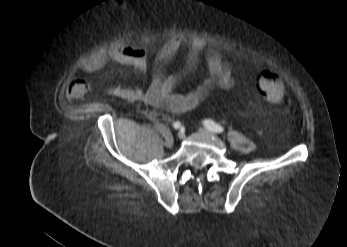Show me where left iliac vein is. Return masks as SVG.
Returning <instances> with one entry per match:
<instances>
[{"mask_svg": "<svg viewBox=\"0 0 347 247\" xmlns=\"http://www.w3.org/2000/svg\"><path fill=\"white\" fill-rule=\"evenodd\" d=\"M200 132L201 133H205V134H210V135H213L214 133L211 132L210 130L206 129V128H201L200 129Z\"/></svg>", "mask_w": 347, "mask_h": 247, "instance_id": "left-iliac-vein-1", "label": "left iliac vein"}]
</instances>
